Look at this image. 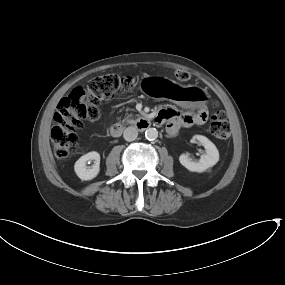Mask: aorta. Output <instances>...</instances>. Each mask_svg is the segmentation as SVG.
<instances>
[{"instance_id":"762f6f07","label":"aorta","mask_w":285,"mask_h":285,"mask_svg":"<svg viewBox=\"0 0 285 285\" xmlns=\"http://www.w3.org/2000/svg\"><path fill=\"white\" fill-rule=\"evenodd\" d=\"M145 137L148 140H155L158 137V131L156 128H148L145 131Z\"/></svg>"}]
</instances>
